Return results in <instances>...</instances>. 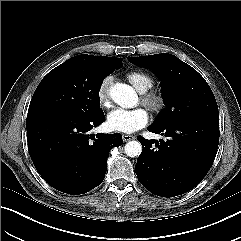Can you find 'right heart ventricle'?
Listing matches in <instances>:
<instances>
[{
    "label": "right heart ventricle",
    "instance_id": "e07e8e85",
    "mask_svg": "<svg viewBox=\"0 0 241 241\" xmlns=\"http://www.w3.org/2000/svg\"><path fill=\"white\" fill-rule=\"evenodd\" d=\"M126 78L129 83L140 93L147 92L154 84L153 78L143 71H130L126 74Z\"/></svg>",
    "mask_w": 241,
    "mask_h": 241
}]
</instances>
